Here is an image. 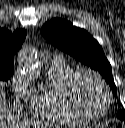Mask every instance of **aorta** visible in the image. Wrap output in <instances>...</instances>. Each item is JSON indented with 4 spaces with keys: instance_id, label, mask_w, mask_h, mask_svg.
<instances>
[{
    "instance_id": "aorta-1",
    "label": "aorta",
    "mask_w": 125,
    "mask_h": 128,
    "mask_svg": "<svg viewBox=\"0 0 125 128\" xmlns=\"http://www.w3.org/2000/svg\"><path fill=\"white\" fill-rule=\"evenodd\" d=\"M20 62L34 66L36 70L38 68L37 60L33 57L29 50H24L20 53Z\"/></svg>"
}]
</instances>
